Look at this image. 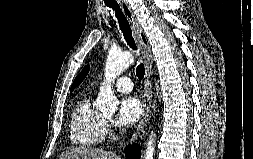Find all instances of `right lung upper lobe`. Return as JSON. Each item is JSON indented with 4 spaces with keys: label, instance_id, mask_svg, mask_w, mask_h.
I'll use <instances>...</instances> for the list:
<instances>
[{
    "label": "right lung upper lobe",
    "instance_id": "right-lung-upper-lobe-1",
    "mask_svg": "<svg viewBox=\"0 0 253 159\" xmlns=\"http://www.w3.org/2000/svg\"><path fill=\"white\" fill-rule=\"evenodd\" d=\"M142 37H143L144 42H146V41H145V38H144V36H143V35H142Z\"/></svg>",
    "mask_w": 253,
    "mask_h": 159
}]
</instances>
